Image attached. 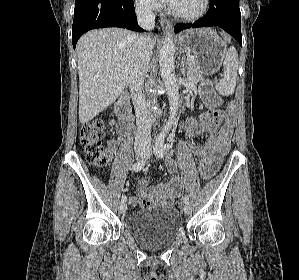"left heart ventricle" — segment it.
<instances>
[{"instance_id": "b2bd125f", "label": "left heart ventricle", "mask_w": 299, "mask_h": 280, "mask_svg": "<svg viewBox=\"0 0 299 280\" xmlns=\"http://www.w3.org/2000/svg\"><path fill=\"white\" fill-rule=\"evenodd\" d=\"M203 0H173L172 7L183 14H195L202 7Z\"/></svg>"}]
</instances>
